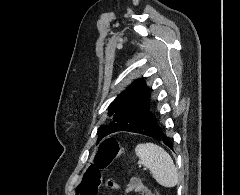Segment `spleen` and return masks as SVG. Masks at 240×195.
<instances>
[{
	"mask_svg": "<svg viewBox=\"0 0 240 195\" xmlns=\"http://www.w3.org/2000/svg\"><path fill=\"white\" fill-rule=\"evenodd\" d=\"M135 151L141 163L150 169L152 177L160 185L174 187L178 183V173L174 161L163 147L156 143H138Z\"/></svg>",
	"mask_w": 240,
	"mask_h": 195,
	"instance_id": "3e777b00",
	"label": "spleen"
}]
</instances>
